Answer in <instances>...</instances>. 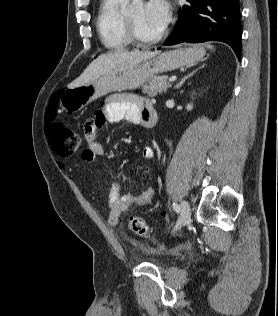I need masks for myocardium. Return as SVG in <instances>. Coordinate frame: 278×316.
Here are the masks:
<instances>
[{
    "instance_id": "f54148a6",
    "label": "myocardium",
    "mask_w": 278,
    "mask_h": 316,
    "mask_svg": "<svg viewBox=\"0 0 278 316\" xmlns=\"http://www.w3.org/2000/svg\"><path fill=\"white\" fill-rule=\"evenodd\" d=\"M125 27L130 42L138 46H150L161 41L167 34V30L163 29L158 35L152 38H143L137 31L133 21L128 15H125Z\"/></svg>"
}]
</instances>
